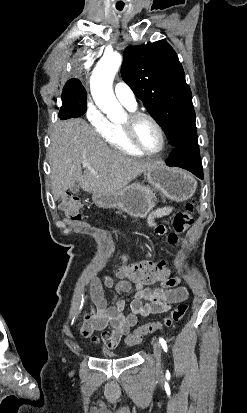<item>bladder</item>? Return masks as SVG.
Wrapping results in <instances>:
<instances>
[{"label": "bladder", "instance_id": "31cf9c89", "mask_svg": "<svg viewBox=\"0 0 247 413\" xmlns=\"http://www.w3.org/2000/svg\"><path fill=\"white\" fill-rule=\"evenodd\" d=\"M102 353L105 358H113L115 356V353L109 350H103Z\"/></svg>", "mask_w": 247, "mask_h": 413}]
</instances>
